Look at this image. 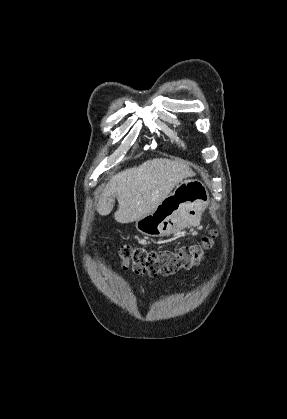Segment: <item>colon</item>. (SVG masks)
<instances>
[{"instance_id":"5ec220e1","label":"colon","mask_w":287,"mask_h":419,"mask_svg":"<svg viewBox=\"0 0 287 419\" xmlns=\"http://www.w3.org/2000/svg\"><path fill=\"white\" fill-rule=\"evenodd\" d=\"M215 233L212 231L199 243L184 246L178 250H147L140 247L124 245L120 255L124 266L137 274L149 276H170L180 270H188L197 265L205 249L213 244Z\"/></svg>"}]
</instances>
